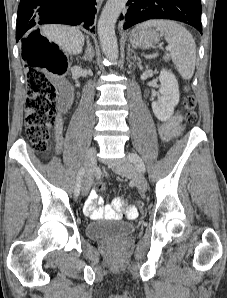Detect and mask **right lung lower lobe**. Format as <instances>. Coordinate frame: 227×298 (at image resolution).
<instances>
[{
    "label": "right lung lower lobe",
    "instance_id": "right-lung-lower-lobe-1",
    "mask_svg": "<svg viewBox=\"0 0 227 298\" xmlns=\"http://www.w3.org/2000/svg\"><path fill=\"white\" fill-rule=\"evenodd\" d=\"M96 5V0H21L16 41L38 24L80 25L93 32Z\"/></svg>",
    "mask_w": 227,
    "mask_h": 298
}]
</instances>
